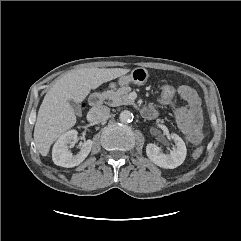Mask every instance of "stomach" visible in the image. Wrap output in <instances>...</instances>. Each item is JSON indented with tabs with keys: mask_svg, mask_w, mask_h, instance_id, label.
I'll list each match as a JSON object with an SVG mask.
<instances>
[{
	"mask_svg": "<svg viewBox=\"0 0 241 241\" xmlns=\"http://www.w3.org/2000/svg\"><path fill=\"white\" fill-rule=\"evenodd\" d=\"M149 77L148 70L143 67H137L131 71L130 74H124L119 77L117 83H111L110 88H115L116 85L127 86L130 83L135 85H142L147 82Z\"/></svg>",
	"mask_w": 241,
	"mask_h": 241,
	"instance_id": "obj_1",
	"label": "stomach"
}]
</instances>
